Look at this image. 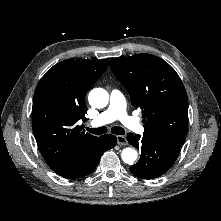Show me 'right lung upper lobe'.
<instances>
[{
  "label": "right lung upper lobe",
  "mask_w": 221,
  "mask_h": 221,
  "mask_svg": "<svg viewBox=\"0 0 221 221\" xmlns=\"http://www.w3.org/2000/svg\"><path fill=\"white\" fill-rule=\"evenodd\" d=\"M108 68V59L64 60L39 81L32 107L33 132L40 152L54 172L67 169L98 137L85 133L87 91Z\"/></svg>",
  "instance_id": "obj_1"
}]
</instances>
